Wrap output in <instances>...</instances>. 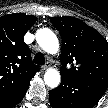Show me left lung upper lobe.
<instances>
[{
    "mask_svg": "<svg viewBox=\"0 0 108 108\" xmlns=\"http://www.w3.org/2000/svg\"><path fill=\"white\" fill-rule=\"evenodd\" d=\"M62 38L61 76L108 84V42L94 28L74 17H53Z\"/></svg>",
    "mask_w": 108,
    "mask_h": 108,
    "instance_id": "5c2ea615",
    "label": "left lung upper lobe"
}]
</instances>
